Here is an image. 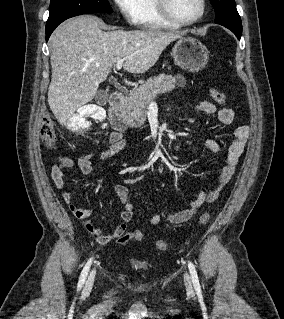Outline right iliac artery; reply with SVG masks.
I'll return each mask as SVG.
<instances>
[{"label":"right iliac artery","instance_id":"1","mask_svg":"<svg viewBox=\"0 0 284 319\" xmlns=\"http://www.w3.org/2000/svg\"><path fill=\"white\" fill-rule=\"evenodd\" d=\"M91 263H92V258H90L87 263L85 264L82 272H81V275H80V278H79V281H78V286H77V289L80 290L81 287L83 286L84 282H85V279L88 275V272H89V269H90V266H91Z\"/></svg>","mask_w":284,"mask_h":319}]
</instances>
